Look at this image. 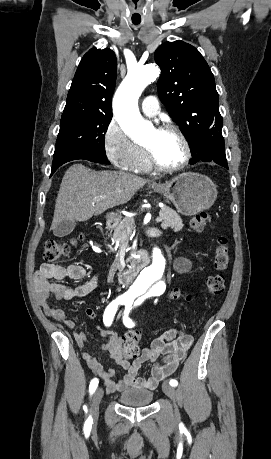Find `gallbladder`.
I'll return each mask as SVG.
<instances>
[{
  "mask_svg": "<svg viewBox=\"0 0 271 459\" xmlns=\"http://www.w3.org/2000/svg\"><path fill=\"white\" fill-rule=\"evenodd\" d=\"M75 226V220H66V222H61V224H58L56 228H53V233L54 235H58V237H63V235H68V233H71Z\"/></svg>",
  "mask_w": 271,
  "mask_h": 459,
  "instance_id": "1",
  "label": "gallbladder"
}]
</instances>
